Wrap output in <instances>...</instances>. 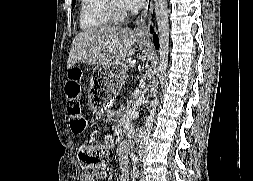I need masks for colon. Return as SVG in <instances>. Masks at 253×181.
Returning a JSON list of instances; mask_svg holds the SVG:
<instances>
[{"instance_id":"obj_1","label":"colon","mask_w":253,"mask_h":181,"mask_svg":"<svg viewBox=\"0 0 253 181\" xmlns=\"http://www.w3.org/2000/svg\"><path fill=\"white\" fill-rule=\"evenodd\" d=\"M65 93L68 99L67 109L70 114V126L75 133H82L88 126V120L81 115V97L83 87L81 84V71L78 68H71L65 83ZM81 166L88 173L99 172L107 161L105 149L93 143L82 146L79 152Z\"/></svg>"}]
</instances>
